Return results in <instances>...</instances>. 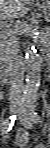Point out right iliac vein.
Returning <instances> with one entry per match:
<instances>
[{"label": "right iliac vein", "instance_id": "obj_1", "mask_svg": "<svg viewBox=\"0 0 50 148\" xmlns=\"http://www.w3.org/2000/svg\"><path fill=\"white\" fill-rule=\"evenodd\" d=\"M17 111V107L12 105L10 108H9V113L10 114H14L15 112Z\"/></svg>", "mask_w": 50, "mask_h": 148}]
</instances>
